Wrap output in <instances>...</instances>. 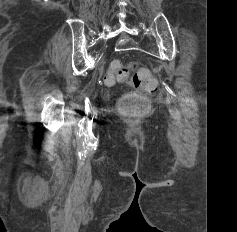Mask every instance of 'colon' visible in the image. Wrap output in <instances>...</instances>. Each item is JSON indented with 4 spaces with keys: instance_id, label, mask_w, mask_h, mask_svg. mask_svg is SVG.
<instances>
[{
    "instance_id": "colon-1",
    "label": "colon",
    "mask_w": 237,
    "mask_h": 232,
    "mask_svg": "<svg viewBox=\"0 0 237 232\" xmlns=\"http://www.w3.org/2000/svg\"><path fill=\"white\" fill-rule=\"evenodd\" d=\"M131 71L134 74L130 80V85L135 89L125 95L120 101V111L128 116H138L145 114L149 110V103L145 94L153 93L157 90V80L144 68H137L135 63L123 64L118 60L113 61L105 75V82L112 85L115 82H124Z\"/></svg>"
}]
</instances>
